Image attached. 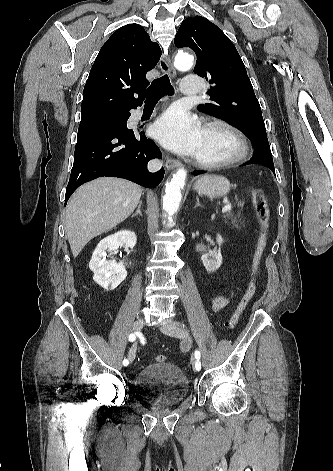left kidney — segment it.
I'll use <instances>...</instances> for the list:
<instances>
[{
	"label": "left kidney",
	"mask_w": 333,
	"mask_h": 471,
	"mask_svg": "<svg viewBox=\"0 0 333 471\" xmlns=\"http://www.w3.org/2000/svg\"><path fill=\"white\" fill-rule=\"evenodd\" d=\"M216 242L221 246L224 242L222 236L217 234ZM202 263L207 272L216 271L222 264V254L220 250H213L207 254H203L201 257Z\"/></svg>",
	"instance_id": "obj_1"
}]
</instances>
